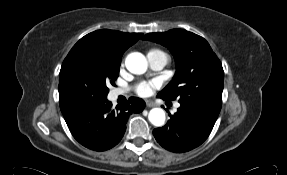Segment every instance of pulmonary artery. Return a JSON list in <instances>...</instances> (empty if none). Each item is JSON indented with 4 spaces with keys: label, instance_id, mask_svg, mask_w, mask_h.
I'll use <instances>...</instances> for the list:
<instances>
[{
    "label": "pulmonary artery",
    "instance_id": "1",
    "mask_svg": "<svg viewBox=\"0 0 287 175\" xmlns=\"http://www.w3.org/2000/svg\"><path fill=\"white\" fill-rule=\"evenodd\" d=\"M147 59H148L150 67L154 70H160L164 68L169 61L168 55L161 50L149 51L147 53ZM122 94H124V90L119 89V88L114 89L112 92V95L114 97H117ZM179 106H180L179 103L175 104V108H178Z\"/></svg>",
    "mask_w": 287,
    "mask_h": 175
}]
</instances>
